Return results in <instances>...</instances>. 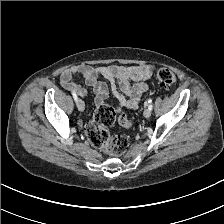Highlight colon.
<instances>
[{
    "label": "colon",
    "mask_w": 224,
    "mask_h": 224,
    "mask_svg": "<svg viewBox=\"0 0 224 224\" xmlns=\"http://www.w3.org/2000/svg\"><path fill=\"white\" fill-rule=\"evenodd\" d=\"M156 77L158 84L164 88H172L177 82L175 74L167 68L158 70ZM116 121L122 128H130L133 124L132 119L126 114L122 113L117 116L113 107L107 104L101 105L86 125L85 133L93 146L102 148L110 155L120 156L126 151L129 139L124 135L109 133L108 128Z\"/></svg>",
    "instance_id": "5ec220e1"
}]
</instances>
